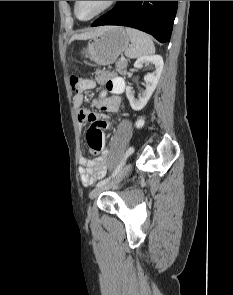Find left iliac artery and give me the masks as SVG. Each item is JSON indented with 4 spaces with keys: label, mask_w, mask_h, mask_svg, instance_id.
<instances>
[{
    "label": "left iliac artery",
    "mask_w": 233,
    "mask_h": 295,
    "mask_svg": "<svg viewBox=\"0 0 233 295\" xmlns=\"http://www.w3.org/2000/svg\"><path fill=\"white\" fill-rule=\"evenodd\" d=\"M134 148L135 147L132 145L127 150V152L124 153V156L122 157L123 158V161L118 165V168L114 171V173L110 177H108V178H106V179L101 180L100 182H98L97 183V187L102 186V185L108 183L111 178L115 177L120 172V170L124 168V164L127 162V160H128L127 158L131 156L132 152L134 151Z\"/></svg>",
    "instance_id": "44dca946"
}]
</instances>
